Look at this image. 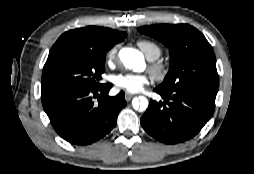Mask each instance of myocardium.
I'll use <instances>...</instances> for the list:
<instances>
[{"mask_svg": "<svg viewBox=\"0 0 254 174\" xmlns=\"http://www.w3.org/2000/svg\"><path fill=\"white\" fill-rule=\"evenodd\" d=\"M149 71L155 80L162 82L169 74V66L162 60H154L149 65Z\"/></svg>", "mask_w": 254, "mask_h": 174, "instance_id": "1", "label": "myocardium"}]
</instances>
